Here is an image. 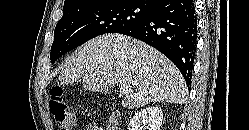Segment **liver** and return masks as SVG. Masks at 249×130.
<instances>
[{"mask_svg": "<svg viewBox=\"0 0 249 130\" xmlns=\"http://www.w3.org/2000/svg\"><path fill=\"white\" fill-rule=\"evenodd\" d=\"M79 80L93 92L127 87L122 106L128 109L151 102L186 101V84L176 66L153 47L121 34L91 39L66 59L60 85Z\"/></svg>", "mask_w": 249, "mask_h": 130, "instance_id": "liver-1", "label": "liver"}]
</instances>
